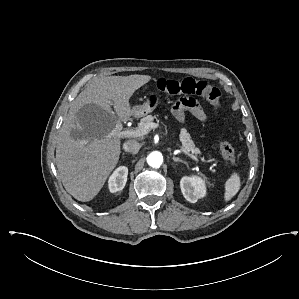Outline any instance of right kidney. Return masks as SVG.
Returning <instances> with one entry per match:
<instances>
[{
  "label": "right kidney",
  "mask_w": 299,
  "mask_h": 299,
  "mask_svg": "<svg viewBox=\"0 0 299 299\" xmlns=\"http://www.w3.org/2000/svg\"><path fill=\"white\" fill-rule=\"evenodd\" d=\"M128 176V168L125 166L118 167L110 176L108 187L111 193L122 190L125 187Z\"/></svg>",
  "instance_id": "1"
}]
</instances>
